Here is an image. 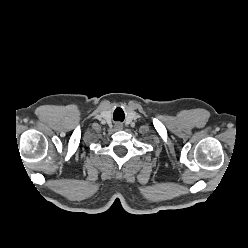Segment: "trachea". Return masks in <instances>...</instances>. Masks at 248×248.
<instances>
[{"mask_svg": "<svg viewBox=\"0 0 248 248\" xmlns=\"http://www.w3.org/2000/svg\"><path fill=\"white\" fill-rule=\"evenodd\" d=\"M117 111H120V112L122 113L123 117H124V113H123V111H122L120 108H117L116 111H115V113H116Z\"/></svg>", "mask_w": 248, "mask_h": 248, "instance_id": "1", "label": "trachea"}]
</instances>
